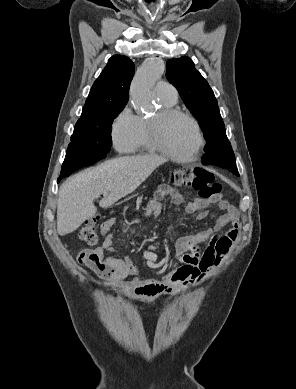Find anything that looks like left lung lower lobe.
<instances>
[{
  "label": "left lung lower lobe",
  "instance_id": "obj_1",
  "mask_svg": "<svg viewBox=\"0 0 296 389\" xmlns=\"http://www.w3.org/2000/svg\"><path fill=\"white\" fill-rule=\"evenodd\" d=\"M202 164H210L226 168L233 174L239 176L235 162V155L226 133L223 134L221 138L205 152Z\"/></svg>",
  "mask_w": 296,
  "mask_h": 389
}]
</instances>
